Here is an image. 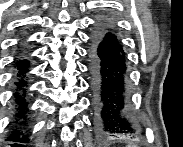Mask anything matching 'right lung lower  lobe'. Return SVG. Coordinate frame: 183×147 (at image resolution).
<instances>
[{
	"instance_id": "1",
	"label": "right lung lower lobe",
	"mask_w": 183,
	"mask_h": 147,
	"mask_svg": "<svg viewBox=\"0 0 183 147\" xmlns=\"http://www.w3.org/2000/svg\"><path fill=\"white\" fill-rule=\"evenodd\" d=\"M28 68V62L26 60L23 61H18L17 62V77H19V80L15 82L16 86V91L14 93L15 101L18 104V112H17V119L14 121V123H17L20 121V119L25 120V113L27 111V103H25V100L23 99V96L25 95V89L24 87L26 86V81L23 79L25 77V72L27 71ZM24 123V121H20L19 124L21 125ZM20 131L15 130L12 132V134L7 138L8 141H13V142H21V143H26L27 142V136L22 135L20 136ZM19 144H13V146H16Z\"/></svg>"
}]
</instances>
